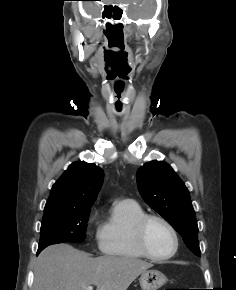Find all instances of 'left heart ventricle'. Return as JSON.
I'll list each match as a JSON object with an SVG mask.
<instances>
[{"mask_svg":"<svg viewBox=\"0 0 236 290\" xmlns=\"http://www.w3.org/2000/svg\"><path fill=\"white\" fill-rule=\"evenodd\" d=\"M149 250L157 256L168 255L174 247V240L169 229L158 221H151L146 230Z\"/></svg>","mask_w":236,"mask_h":290,"instance_id":"left-heart-ventricle-1","label":"left heart ventricle"}]
</instances>
